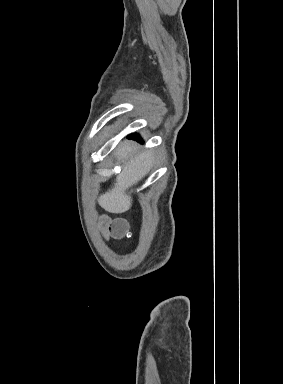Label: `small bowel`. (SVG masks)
<instances>
[{
	"mask_svg": "<svg viewBox=\"0 0 283 384\" xmlns=\"http://www.w3.org/2000/svg\"><path fill=\"white\" fill-rule=\"evenodd\" d=\"M99 225V230L100 232L105 236L108 237L109 233H111V226H112V221L110 217L104 215L99 219L98 222Z\"/></svg>",
	"mask_w": 283,
	"mask_h": 384,
	"instance_id": "obj_1",
	"label": "small bowel"
}]
</instances>
